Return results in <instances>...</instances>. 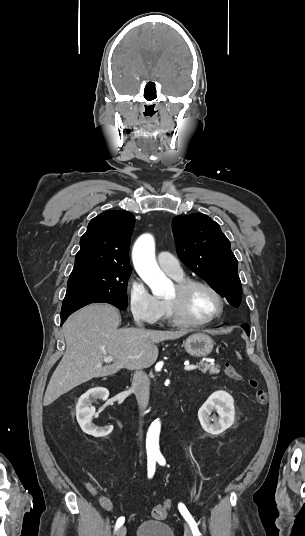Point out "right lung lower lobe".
Segmentation results:
<instances>
[{
    "instance_id": "1",
    "label": "right lung lower lobe",
    "mask_w": 305,
    "mask_h": 536,
    "mask_svg": "<svg viewBox=\"0 0 305 536\" xmlns=\"http://www.w3.org/2000/svg\"><path fill=\"white\" fill-rule=\"evenodd\" d=\"M88 304H77V305H68V306H62L61 310V324L65 322V320L68 318L70 314L75 312L76 310L80 309L81 307H84Z\"/></svg>"
}]
</instances>
